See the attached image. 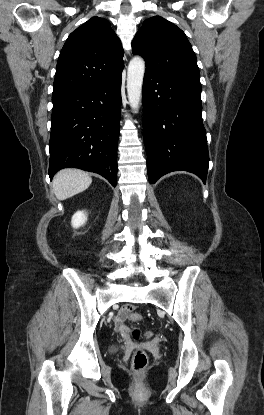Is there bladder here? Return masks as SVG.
Masks as SVG:
<instances>
[{"label":"bladder","mask_w":264,"mask_h":415,"mask_svg":"<svg viewBox=\"0 0 264 415\" xmlns=\"http://www.w3.org/2000/svg\"><path fill=\"white\" fill-rule=\"evenodd\" d=\"M120 350V347L117 345H112L108 347V354L114 355Z\"/></svg>","instance_id":"1"}]
</instances>
